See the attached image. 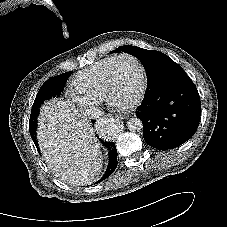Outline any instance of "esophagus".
Segmentation results:
<instances>
[{
	"label": "esophagus",
	"instance_id": "esophagus-1",
	"mask_svg": "<svg viewBox=\"0 0 227 227\" xmlns=\"http://www.w3.org/2000/svg\"><path fill=\"white\" fill-rule=\"evenodd\" d=\"M111 117H113V116H111L110 114H109V115H107V118H111ZM101 120H102V119H101ZM115 120H116V121H119V120H120V118H119L118 116H116V117H115Z\"/></svg>",
	"mask_w": 227,
	"mask_h": 227
}]
</instances>
